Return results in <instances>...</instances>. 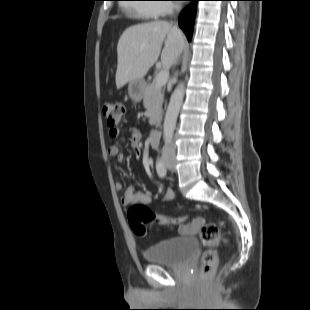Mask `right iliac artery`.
Segmentation results:
<instances>
[{
  "mask_svg": "<svg viewBox=\"0 0 310 310\" xmlns=\"http://www.w3.org/2000/svg\"><path fill=\"white\" fill-rule=\"evenodd\" d=\"M156 170L160 177H164L166 175L167 169L162 158L157 161Z\"/></svg>",
  "mask_w": 310,
  "mask_h": 310,
  "instance_id": "right-iliac-artery-1",
  "label": "right iliac artery"
}]
</instances>
